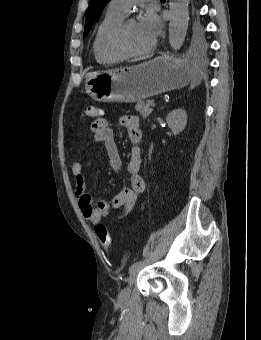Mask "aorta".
<instances>
[{"label": "aorta", "mask_w": 261, "mask_h": 340, "mask_svg": "<svg viewBox=\"0 0 261 340\" xmlns=\"http://www.w3.org/2000/svg\"><path fill=\"white\" fill-rule=\"evenodd\" d=\"M189 0H171L169 44L174 50H178L184 43L189 22Z\"/></svg>", "instance_id": "aorta-1"}]
</instances>
